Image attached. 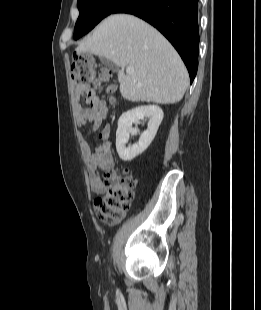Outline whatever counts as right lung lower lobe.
<instances>
[{
  "mask_svg": "<svg viewBox=\"0 0 261 310\" xmlns=\"http://www.w3.org/2000/svg\"><path fill=\"white\" fill-rule=\"evenodd\" d=\"M198 0H125L112 13L133 14L157 28L184 61L190 81L198 67Z\"/></svg>",
  "mask_w": 261,
  "mask_h": 310,
  "instance_id": "98d812e1",
  "label": "right lung lower lobe"
}]
</instances>
